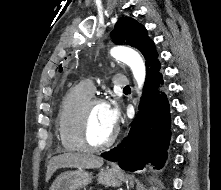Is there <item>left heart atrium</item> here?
<instances>
[{
  "label": "left heart atrium",
  "instance_id": "39dd6f15",
  "mask_svg": "<svg viewBox=\"0 0 221 190\" xmlns=\"http://www.w3.org/2000/svg\"><path fill=\"white\" fill-rule=\"evenodd\" d=\"M107 118L109 124L115 128L119 120V112L116 106L106 105Z\"/></svg>",
  "mask_w": 221,
  "mask_h": 190
}]
</instances>
